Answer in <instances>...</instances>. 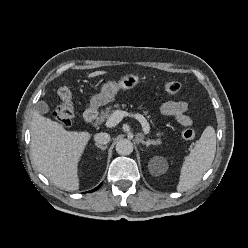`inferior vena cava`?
I'll return each mask as SVG.
<instances>
[{"label":"inferior vena cava","mask_w":248,"mask_h":248,"mask_svg":"<svg viewBox=\"0 0 248 248\" xmlns=\"http://www.w3.org/2000/svg\"><path fill=\"white\" fill-rule=\"evenodd\" d=\"M110 135L108 133H96L94 135V140L98 144H107L110 141Z\"/></svg>","instance_id":"inferior-vena-cava-1"}]
</instances>
